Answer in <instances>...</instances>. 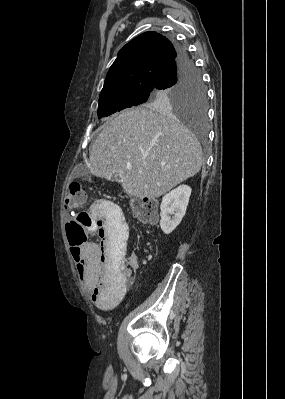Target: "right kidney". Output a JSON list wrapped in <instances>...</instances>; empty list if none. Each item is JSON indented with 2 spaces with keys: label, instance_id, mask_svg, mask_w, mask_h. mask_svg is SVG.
I'll use <instances>...</instances> for the list:
<instances>
[{
  "label": "right kidney",
  "instance_id": "obj_1",
  "mask_svg": "<svg viewBox=\"0 0 285 399\" xmlns=\"http://www.w3.org/2000/svg\"><path fill=\"white\" fill-rule=\"evenodd\" d=\"M191 195V188L180 185L166 194L160 205V227L164 234H170L181 222Z\"/></svg>",
  "mask_w": 285,
  "mask_h": 399
}]
</instances>
